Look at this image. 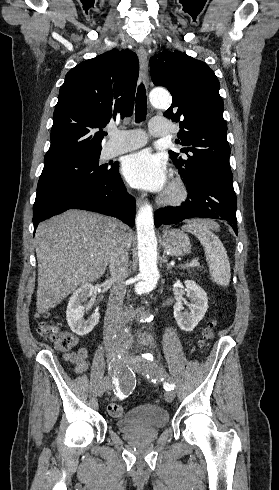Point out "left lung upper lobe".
<instances>
[{"mask_svg":"<svg viewBox=\"0 0 279 490\" xmlns=\"http://www.w3.org/2000/svg\"><path fill=\"white\" fill-rule=\"evenodd\" d=\"M150 62L153 83L166 87L173 96L164 116L180 123L176 143L184 146L181 152L186 156L173 151L169 154L183 179L189 181L203 172L233 178L223 100L214 71L176 50H164Z\"/></svg>","mask_w":279,"mask_h":490,"instance_id":"left-lung-upper-lobe-1","label":"left lung upper lobe"}]
</instances>
